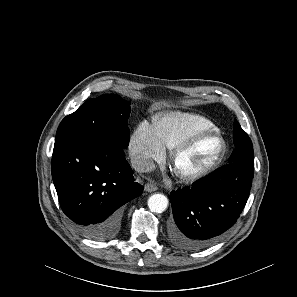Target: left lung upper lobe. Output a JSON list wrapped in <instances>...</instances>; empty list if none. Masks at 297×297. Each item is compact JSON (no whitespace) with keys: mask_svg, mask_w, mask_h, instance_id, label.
<instances>
[{"mask_svg":"<svg viewBox=\"0 0 297 297\" xmlns=\"http://www.w3.org/2000/svg\"><path fill=\"white\" fill-rule=\"evenodd\" d=\"M234 145L235 150L228 160L232 163H254L253 145L247 133L241 128L237 120H234Z\"/></svg>","mask_w":297,"mask_h":297,"instance_id":"obj_1","label":"left lung upper lobe"}]
</instances>
